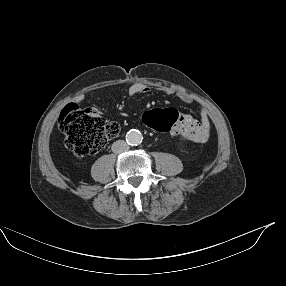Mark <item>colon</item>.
<instances>
[{"instance_id":"obj_1","label":"colon","mask_w":286,"mask_h":286,"mask_svg":"<svg viewBox=\"0 0 286 286\" xmlns=\"http://www.w3.org/2000/svg\"><path fill=\"white\" fill-rule=\"evenodd\" d=\"M174 109L146 110L142 114L143 124L152 130H170L179 120ZM60 131L65 135V147L77 156L93 155L120 133L116 122H107L95 109H82L70 104L60 113Z\"/></svg>"}]
</instances>
